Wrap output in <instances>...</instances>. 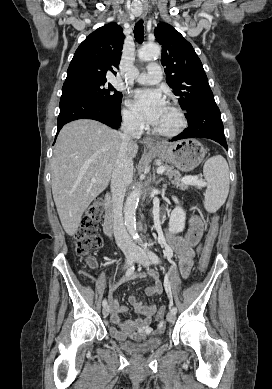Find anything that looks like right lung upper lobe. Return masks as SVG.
Segmentation results:
<instances>
[{
  "mask_svg": "<svg viewBox=\"0 0 272 389\" xmlns=\"http://www.w3.org/2000/svg\"><path fill=\"white\" fill-rule=\"evenodd\" d=\"M123 29L106 24L91 33L77 48L64 84L85 80H106V73L116 75L124 40Z\"/></svg>",
  "mask_w": 272,
  "mask_h": 389,
  "instance_id": "cb5924a9",
  "label": "right lung upper lobe"
}]
</instances>
